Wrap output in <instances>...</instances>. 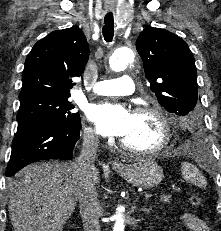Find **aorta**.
Masks as SVG:
<instances>
[{
    "label": "aorta",
    "instance_id": "aorta-1",
    "mask_svg": "<svg viewBox=\"0 0 221 231\" xmlns=\"http://www.w3.org/2000/svg\"><path fill=\"white\" fill-rule=\"evenodd\" d=\"M134 61V53L129 48H118L109 57L110 68L115 72H120L126 69V67ZM115 224L113 231H124L125 223L124 216L120 209L117 210L114 215Z\"/></svg>",
    "mask_w": 221,
    "mask_h": 231
}]
</instances>
